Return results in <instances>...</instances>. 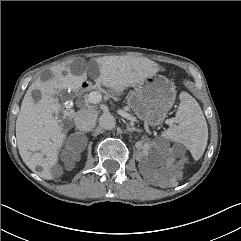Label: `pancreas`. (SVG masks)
Listing matches in <instances>:
<instances>
[{
  "label": "pancreas",
  "mask_w": 241,
  "mask_h": 241,
  "mask_svg": "<svg viewBox=\"0 0 241 241\" xmlns=\"http://www.w3.org/2000/svg\"><path fill=\"white\" fill-rule=\"evenodd\" d=\"M84 100H85V103H90V101H89V94H86L84 96Z\"/></svg>",
  "instance_id": "obj_1"
}]
</instances>
